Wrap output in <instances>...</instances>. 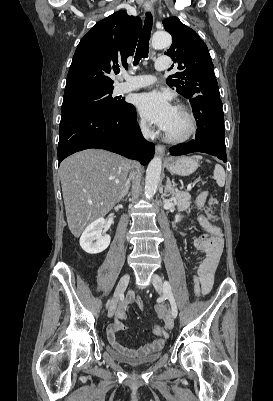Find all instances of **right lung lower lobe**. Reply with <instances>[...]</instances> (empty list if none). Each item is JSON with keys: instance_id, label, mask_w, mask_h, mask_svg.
<instances>
[{"instance_id": "right-lung-lower-lobe-1", "label": "right lung lower lobe", "mask_w": 273, "mask_h": 401, "mask_svg": "<svg viewBox=\"0 0 273 401\" xmlns=\"http://www.w3.org/2000/svg\"><path fill=\"white\" fill-rule=\"evenodd\" d=\"M88 148H102L146 165L155 146L146 141L132 104L117 110L77 109L61 115L58 160Z\"/></svg>"}]
</instances>
